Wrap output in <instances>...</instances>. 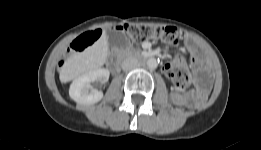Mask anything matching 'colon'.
Listing matches in <instances>:
<instances>
[{
	"instance_id": "5ec220e1",
	"label": "colon",
	"mask_w": 261,
	"mask_h": 150,
	"mask_svg": "<svg viewBox=\"0 0 261 150\" xmlns=\"http://www.w3.org/2000/svg\"><path fill=\"white\" fill-rule=\"evenodd\" d=\"M121 29L134 42L141 43L147 40H159L175 46V54L179 55L181 49L177 46L180 42V32L174 27L137 26L125 25ZM103 34L101 29L87 31L70 46L69 53L74 54L83 51L94 44ZM63 63L60 64V67ZM165 73L178 86L185 87L189 81L188 70L183 59L175 58L165 65Z\"/></svg>"
}]
</instances>
